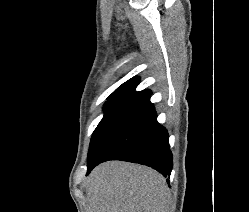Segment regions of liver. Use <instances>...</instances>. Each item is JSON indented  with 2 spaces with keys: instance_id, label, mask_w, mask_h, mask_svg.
I'll use <instances>...</instances> for the list:
<instances>
[{
  "instance_id": "liver-1",
  "label": "liver",
  "mask_w": 249,
  "mask_h": 212,
  "mask_svg": "<svg viewBox=\"0 0 249 212\" xmlns=\"http://www.w3.org/2000/svg\"><path fill=\"white\" fill-rule=\"evenodd\" d=\"M86 212H167L168 186L156 170L104 162L84 182Z\"/></svg>"
}]
</instances>
